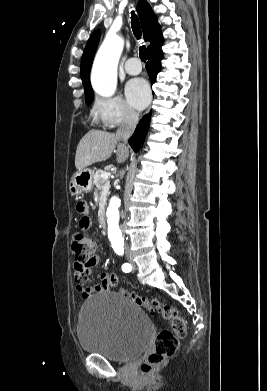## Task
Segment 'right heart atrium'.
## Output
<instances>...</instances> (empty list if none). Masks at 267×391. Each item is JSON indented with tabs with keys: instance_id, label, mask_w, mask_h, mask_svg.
<instances>
[{
	"instance_id": "1",
	"label": "right heart atrium",
	"mask_w": 267,
	"mask_h": 391,
	"mask_svg": "<svg viewBox=\"0 0 267 391\" xmlns=\"http://www.w3.org/2000/svg\"><path fill=\"white\" fill-rule=\"evenodd\" d=\"M92 115L96 122L107 128L131 125L138 119L137 112L120 96L96 98Z\"/></svg>"
}]
</instances>
